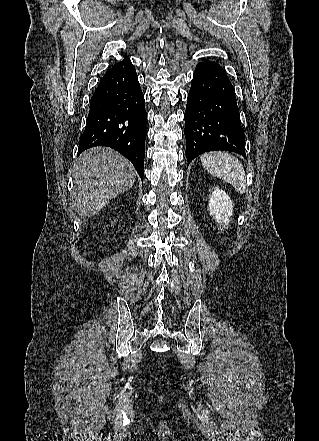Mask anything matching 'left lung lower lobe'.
Instances as JSON below:
<instances>
[{
    "instance_id": "0a47b994",
    "label": "left lung lower lobe",
    "mask_w": 319,
    "mask_h": 441,
    "mask_svg": "<svg viewBox=\"0 0 319 441\" xmlns=\"http://www.w3.org/2000/svg\"><path fill=\"white\" fill-rule=\"evenodd\" d=\"M184 119L188 162L217 150L246 157L234 87L218 63L208 60L196 66Z\"/></svg>"
}]
</instances>
